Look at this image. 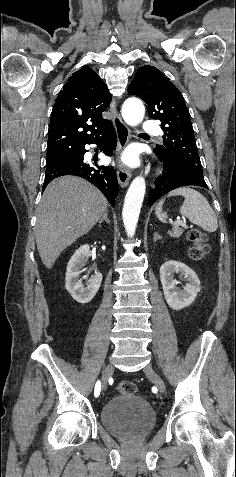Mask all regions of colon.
<instances>
[{"instance_id":"obj_1","label":"colon","mask_w":236,"mask_h":477,"mask_svg":"<svg viewBox=\"0 0 236 477\" xmlns=\"http://www.w3.org/2000/svg\"><path fill=\"white\" fill-rule=\"evenodd\" d=\"M188 239L191 242V247L189 248L190 257L196 261L202 260L209 252L206 235L200 230L193 229L189 231ZM117 390L123 394H135L137 387L131 381H120L117 384Z\"/></svg>"}]
</instances>
